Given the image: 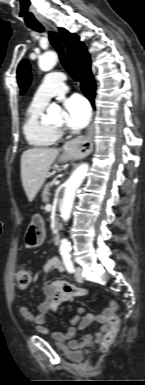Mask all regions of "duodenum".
<instances>
[{
	"mask_svg": "<svg viewBox=\"0 0 145 385\" xmlns=\"http://www.w3.org/2000/svg\"><path fill=\"white\" fill-rule=\"evenodd\" d=\"M53 240H54V243H55L56 245L60 244V240H61L60 234H59V233H56V234L54 235Z\"/></svg>",
	"mask_w": 145,
	"mask_h": 385,
	"instance_id": "1",
	"label": "duodenum"
}]
</instances>
